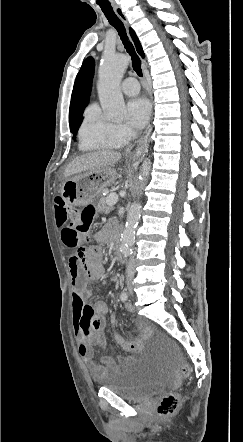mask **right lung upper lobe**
<instances>
[{
    "label": "right lung upper lobe",
    "instance_id": "cb5924a9",
    "mask_svg": "<svg viewBox=\"0 0 243 442\" xmlns=\"http://www.w3.org/2000/svg\"><path fill=\"white\" fill-rule=\"evenodd\" d=\"M131 37L135 42L138 53L144 57L141 44L133 30L130 31ZM94 60L87 58L80 71L77 74L70 102L69 120L70 125L82 120L83 111L88 104L89 96L92 88V79L94 76Z\"/></svg>",
    "mask_w": 243,
    "mask_h": 442
}]
</instances>
